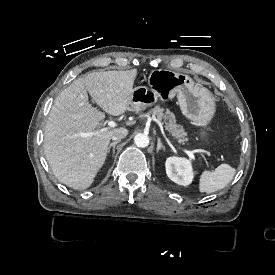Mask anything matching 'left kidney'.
Returning <instances> with one entry per match:
<instances>
[{"instance_id": "1", "label": "left kidney", "mask_w": 275, "mask_h": 275, "mask_svg": "<svg viewBox=\"0 0 275 275\" xmlns=\"http://www.w3.org/2000/svg\"><path fill=\"white\" fill-rule=\"evenodd\" d=\"M166 174L179 185L186 186L191 182V166L186 159L170 157L166 160Z\"/></svg>"}]
</instances>
